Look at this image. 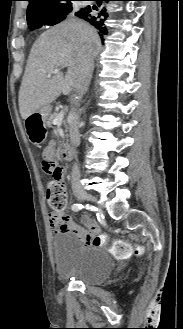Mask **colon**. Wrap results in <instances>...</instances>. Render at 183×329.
Returning a JSON list of instances; mask_svg holds the SVG:
<instances>
[{
    "label": "colon",
    "mask_w": 183,
    "mask_h": 329,
    "mask_svg": "<svg viewBox=\"0 0 183 329\" xmlns=\"http://www.w3.org/2000/svg\"><path fill=\"white\" fill-rule=\"evenodd\" d=\"M42 165L44 172L52 177L47 188L49 206L53 213L62 215L64 214L68 201L66 188L62 181V169L55 163V160L51 156H45ZM93 244L96 246H110L112 252L116 256H127L131 253V248L128 244L122 241L111 242L106 235L94 236ZM142 252L143 249L141 247L136 249L137 254H141Z\"/></svg>",
    "instance_id": "obj_1"
}]
</instances>
